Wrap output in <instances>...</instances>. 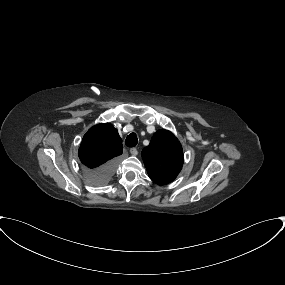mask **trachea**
Masks as SVG:
<instances>
[{
  "label": "trachea",
  "instance_id": "3493384b",
  "mask_svg": "<svg viewBox=\"0 0 285 285\" xmlns=\"http://www.w3.org/2000/svg\"><path fill=\"white\" fill-rule=\"evenodd\" d=\"M137 143H138V138L135 133L129 134L125 140V144L128 147H135Z\"/></svg>",
  "mask_w": 285,
  "mask_h": 285
}]
</instances>
